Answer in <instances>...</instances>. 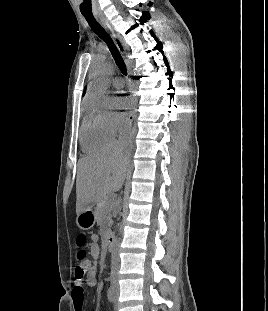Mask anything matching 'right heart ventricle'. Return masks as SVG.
Returning a JSON list of instances; mask_svg holds the SVG:
<instances>
[{
    "label": "right heart ventricle",
    "instance_id": "right-heart-ventricle-1",
    "mask_svg": "<svg viewBox=\"0 0 268 311\" xmlns=\"http://www.w3.org/2000/svg\"><path fill=\"white\" fill-rule=\"evenodd\" d=\"M113 140L114 135L105 128L93 112L84 117L80 130V142L85 151L94 152L103 149Z\"/></svg>",
    "mask_w": 268,
    "mask_h": 311
}]
</instances>
